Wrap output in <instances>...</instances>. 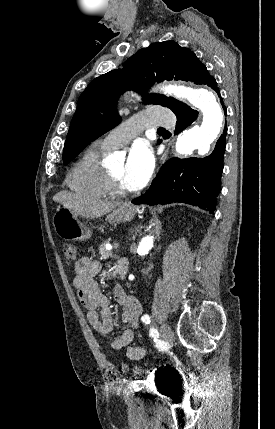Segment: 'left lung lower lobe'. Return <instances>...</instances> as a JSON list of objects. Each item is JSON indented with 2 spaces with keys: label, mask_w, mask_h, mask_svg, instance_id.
I'll return each instance as SVG.
<instances>
[{
  "label": "left lung lower lobe",
  "mask_w": 275,
  "mask_h": 429,
  "mask_svg": "<svg viewBox=\"0 0 275 429\" xmlns=\"http://www.w3.org/2000/svg\"><path fill=\"white\" fill-rule=\"evenodd\" d=\"M196 84L208 85L219 94L216 80L208 73L205 66L201 68ZM220 100L223 105L221 97ZM223 109L226 111L224 105ZM173 112L177 116L175 134L191 125L198 115L197 111L186 104L180 105ZM226 133L225 127L214 151L207 157L170 159L162 166L146 193L135 199L133 203L163 205L183 202L213 214L216 208V197L220 192Z\"/></svg>",
  "instance_id": "obj_1"
}]
</instances>
